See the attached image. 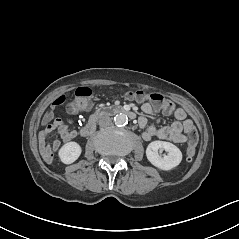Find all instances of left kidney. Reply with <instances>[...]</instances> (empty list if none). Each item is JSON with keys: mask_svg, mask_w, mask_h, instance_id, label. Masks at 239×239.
<instances>
[{"mask_svg": "<svg viewBox=\"0 0 239 239\" xmlns=\"http://www.w3.org/2000/svg\"><path fill=\"white\" fill-rule=\"evenodd\" d=\"M165 150L167 155L161 156L158 151ZM147 160L162 171H170L177 167L183 158L181 150L174 144L164 141H153L146 148Z\"/></svg>", "mask_w": 239, "mask_h": 239, "instance_id": "1", "label": "left kidney"}]
</instances>
